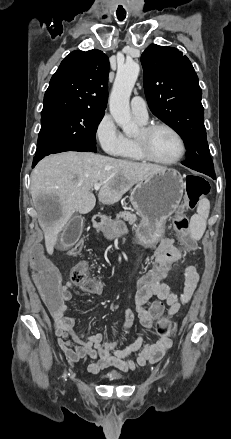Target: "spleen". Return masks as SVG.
Here are the masks:
<instances>
[{"mask_svg": "<svg viewBox=\"0 0 231 439\" xmlns=\"http://www.w3.org/2000/svg\"><path fill=\"white\" fill-rule=\"evenodd\" d=\"M210 202L208 199L200 200L197 207V214L193 215L190 221L191 235L195 240L201 239L206 229V221L209 216Z\"/></svg>", "mask_w": 231, "mask_h": 439, "instance_id": "3e777b00", "label": "spleen"}]
</instances>
